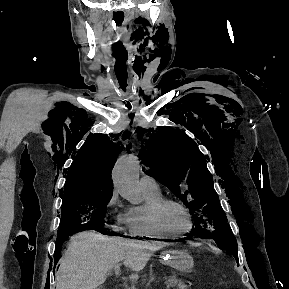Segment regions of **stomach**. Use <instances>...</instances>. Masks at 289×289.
Here are the masks:
<instances>
[{
  "instance_id": "stomach-1",
  "label": "stomach",
  "mask_w": 289,
  "mask_h": 289,
  "mask_svg": "<svg viewBox=\"0 0 289 289\" xmlns=\"http://www.w3.org/2000/svg\"><path fill=\"white\" fill-rule=\"evenodd\" d=\"M180 273H190L194 267V259L186 250H170L163 260Z\"/></svg>"
}]
</instances>
